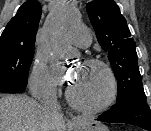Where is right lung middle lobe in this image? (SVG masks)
Instances as JSON below:
<instances>
[{"label": "right lung middle lobe", "mask_w": 151, "mask_h": 131, "mask_svg": "<svg viewBox=\"0 0 151 131\" xmlns=\"http://www.w3.org/2000/svg\"><path fill=\"white\" fill-rule=\"evenodd\" d=\"M33 56V45L16 42L0 43V92L24 91Z\"/></svg>", "instance_id": "dd1d6c3e"}]
</instances>
